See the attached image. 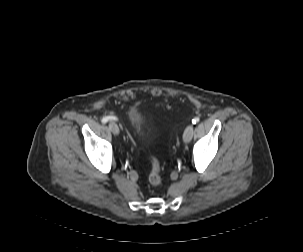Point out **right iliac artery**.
I'll return each instance as SVG.
<instances>
[{
    "label": "right iliac artery",
    "mask_w": 303,
    "mask_h": 252,
    "mask_svg": "<svg viewBox=\"0 0 303 252\" xmlns=\"http://www.w3.org/2000/svg\"><path fill=\"white\" fill-rule=\"evenodd\" d=\"M110 119H112V118H110V117H103V118L101 119V122H102L103 124H105V123H107ZM114 120H116V118H114Z\"/></svg>",
    "instance_id": "1"
}]
</instances>
